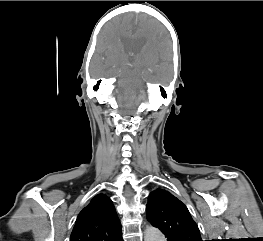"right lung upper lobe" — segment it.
Segmentation results:
<instances>
[{
	"label": "right lung upper lobe",
	"instance_id": "1",
	"mask_svg": "<svg viewBox=\"0 0 263 241\" xmlns=\"http://www.w3.org/2000/svg\"><path fill=\"white\" fill-rule=\"evenodd\" d=\"M70 241H123L121 224L111 199L98 194L82 209Z\"/></svg>",
	"mask_w": 263,
	"mask_h": 241
}]
</instances>
